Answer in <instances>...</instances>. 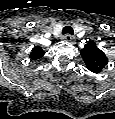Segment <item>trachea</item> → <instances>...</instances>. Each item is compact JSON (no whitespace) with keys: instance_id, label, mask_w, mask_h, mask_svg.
Returning <instances> with one entry per match:
<instances>
[{"instance_id":"trachea-1","label":"trachea","mask_w":115,"mask_h":119,"mask_svg":"<svg viewBox=\"0 0 115 119\" xmlns=\"http://www.w3.org/2000/svg\"><path fill=\"white\" fill-rule=\"evenodd\" d=\"M62 34L63 35H66V34L73 35L72 27L71 26H65L62 30Z\"/></svg>"}]
</instances>
